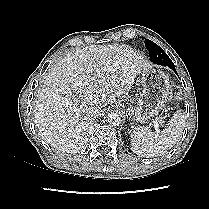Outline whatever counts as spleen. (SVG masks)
<instances>
[{
  "label": "spleen",
  "mask_w": 209,
  "mask_h": 209,
  "mask_svg": "<svg viewBox=\"0 0 209 209\" xmlns=\"http://www.w3.org/2000/svg\"><path fill=\"white\" fill-rule=\"evenodd\" d=\"M186 115L179 109L159 133L148 127L136 128L131 134V150L141 157L160 156L172 148L183 133Z\"/></svg>",
  "instance_id": "1"
}]
</instances>
